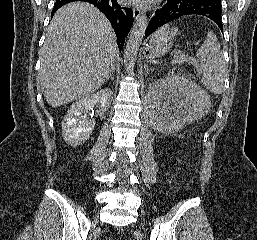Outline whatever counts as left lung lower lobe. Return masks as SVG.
I'll return each mask as SVG.
<instances>
[{
  "instance_id": "1",
  "label": "left lung lower lobe",
  "mask_w": 257,
  "mask_h": 240,
  "mask_svg": "<svg viewBox=\"0 0 257 240\" xmlns=\"http://www.w3.org/2000/svg\"><path fill=\"white\" fill-rule=\"evenodd\" d=\"M187 15H199L209 18L223 32L221 0H167V3L151 17L145 36L148 37L164 24Z\"/></svg>"
}]
</instances>
